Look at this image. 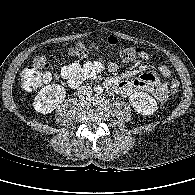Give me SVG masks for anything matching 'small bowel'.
I'll return each mask as SVG.
<instances>
[{"instance_id": "small-bowel-1", "label": "small bowel", "mask_w": 195, "mask_h": 195, "mask_svg": "<svg viewBox=\"0 0 195 195\" xmlns=\"http://www.w3.org/2000/svg\"><path fill=\"white\" fill-rule=\"evenodd\" d=\"M140 59L142 63L122 76H112L106 79L105 86L112 94L127 96L136 91H146L152 94L158 101H165L168 96V82L171 77L170 70L160 65L159 74L162 78L150 71L149 53L143 51ZM103 64L98 60H87L84 63L73 61L59 68L60 76L69 87L77 88L84 81L96 78L103 71ZM108 71L116 73L119 64L112 62L108 65Z\"/></svg>"}]
</instances>
